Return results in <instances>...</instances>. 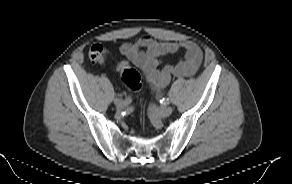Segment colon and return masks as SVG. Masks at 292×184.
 Listing matches in <instances>:
<instances>
[{
    "label": "colon",
    "instance_id": "1",
    "mask_svg": "<svg viewBox=\"0 0 292 184\" xmlns=\"http://www.w3.org/2000/svg\"><path fill=\"white\" fill-rule=\"evenodd\" d=\"M89 58L95 63H102L108 55L107 49L101 44H94L89 49ZM121 79L128 89L137 92L140 88V75L129 65H125L120 69Z\"/></svg>",
    "mask_w": 292,
    "mask_h": 184
}]
</instances>
